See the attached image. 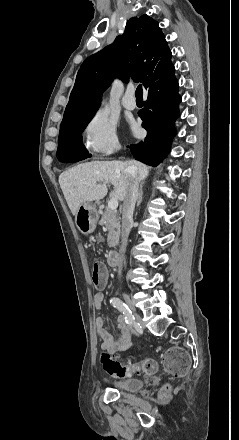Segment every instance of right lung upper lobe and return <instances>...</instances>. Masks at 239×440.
Listing matches in <instances>:
<instances>
[{"mask_svg":"<svg viewBox=\"0 0 239 440\" xmlns=\"http://www.w3.org/2000/svg\"><path fill=\"white\" fill-rule=\"evenodd\" d=\"M171 57L157 21L147 15L127 20L122 36L81 65L62 123L96 112L101 93L115 77L137 79L145 86L172 65Z\"/></svg>","mask_w":239,"mask_h":440,"instance_id":"1","label":"right lung upper lobe"}]
</instances>
